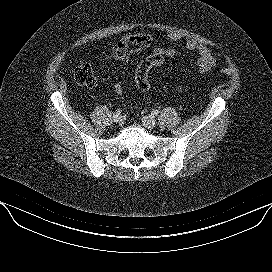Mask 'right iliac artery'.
Returning <instances> with one entry per match:
<instances>
[{"label":"right iliac artery","instance_id":"1","mask_svg":"<svg viewBox=\"0 0 272 272\" xmlns=\"http://www.w3.org/2000/svg\"><path fill=\"white\" fill-rule=\"evenodd\" d=\"M121 113H122L121 109H117L116 112H115L116 115H121Z\"/></svg>","mask_w":272,"mask_h":272}]
</instances>
